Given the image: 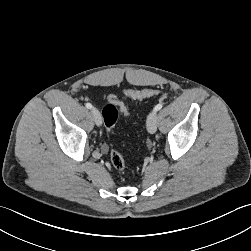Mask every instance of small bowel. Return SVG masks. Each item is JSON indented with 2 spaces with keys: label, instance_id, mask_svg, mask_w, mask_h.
Returning a JSON list of instances; mask_svg holds the SVG:
<instances>
[{
  "label": "small bowel",
  "instance_id": "obj_1",
  "mask_svg": "<svg viewBox=\"0 0 251 251\" xmlns=\"http://www.w3.org/2000/svg\"><path fill=\"white\" fill-rule=\"evenodd\" d=\"M102 150H103L104 152H106L107 148H106V147H103Z\"/></svg>",
  "mask_w": 251,
  "mask_h": 251
}]
</instances>
